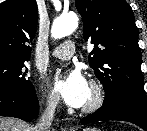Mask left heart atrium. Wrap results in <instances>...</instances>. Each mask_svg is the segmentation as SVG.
<instances>
[{"label": "left heart atrium", "instance_id": "obj_1", "mask_svg": "<svg viewBox=\"0 0 147 131\" xmlns=\"http://www.w3.org/2000/svg\"><path fill=\"white\" fill-rule=\"evenodd\" d=\"M54 91L69 106L81 107L85 104L90 86L79 70L57 74L53 80Z\"/></svg>", "mask_w": 147, "mask_h": 131}]
</instances>
